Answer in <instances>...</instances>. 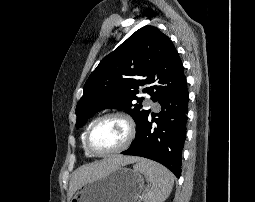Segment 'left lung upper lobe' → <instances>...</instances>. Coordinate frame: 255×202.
<instances>
[{"label": "left lung upper lobe", "mask_w": 255, "mask_h": 202, "mask_svg": "<svg viewBox=\"0 0 255 202\" xmlns=\"http://www.w3.org/2000/svg\"><path fill=\"white\" fill-rule=\"evenodd\" d=\"M184 78L183 64L169 37L156 27L144 26L91 73L76 106V126L102 109L118 108L133 117L138 132L150 112L142 108V94L156 102Z\"/></svg>", "instance_id": "1"}]
</instances>
